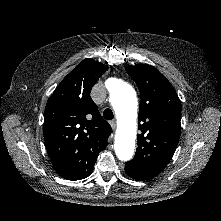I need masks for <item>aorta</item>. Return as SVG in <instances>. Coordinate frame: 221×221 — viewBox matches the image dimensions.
<instances>
[{"mask_svg": "<svg viewBox=\"0 0 221 221\" xmlns=\"http://www.w3.org/2000/svg\"><path fill=\"white\" fill-rule=\"evenodd\" d=\"M110 101L121 123L115 136V153L122 161L132 158L136 139L137 98L133 87L118 83L110 92Z\"/></svg>", "mask_w": 221, "mask_h": 221, "instance_id": "1", "label": "aorta"}]
</instances>
